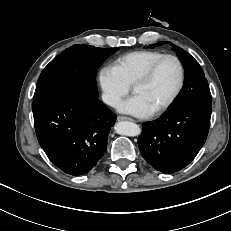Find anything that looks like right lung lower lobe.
<instances>
[{
    "mask_svg": "<svg viewBox=\"0 0 231 231\" xmlns=\"http://www.w3.org/2000/svg\"><path fill=\"white\" fill-rule=\"evenodd\" d=\"M39 144L50 161L63 172L87 173L107 149L114 115L98 98L63 93L32 103Z\"/></svg>",
    "mask_w": 231,
    "mask_h": 231,
    "instance_id": "98d812e1",
    "label": "right lung lower lobe"
}]
</instances>
